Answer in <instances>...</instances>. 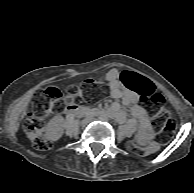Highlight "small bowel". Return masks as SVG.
I'll list each match as a JSON object with an SVG mask.
<instances>
[{
  "instance_id": "1",
  "label": "small bowel",
  "mask_w": 194,
  "mask_h": 193,
  "mask_svg": "<svg viewBox=\"0 0 194 193\" xmlns=\"http://www.w3.org/2000/svg\"><path fill=\"white\" fill-rule=\"evenodd\" d=\"M104 79L107 81L110 95L120 102L115 101L112 106V114L120 122H124L127 117L122 106L129 109L130 114L138 123L137 139L143 144H147L151 138V123L147 111L138 104V93L128 88L120 78V73L116 69L108 71Z\"/></svg>"
}]
</instances>
